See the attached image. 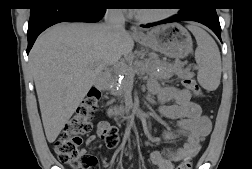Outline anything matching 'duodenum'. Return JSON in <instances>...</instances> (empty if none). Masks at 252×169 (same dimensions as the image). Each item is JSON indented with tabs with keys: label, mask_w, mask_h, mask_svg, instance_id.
<instances>
[{
	"label": "duodenum",
	"mask_w": 252,
	"mask_h": 169,
	"mask_svg": "<svg viewBox=\"0 0 252 169\" xmlns=\"http://www.w3.org/2000/svg\"><path fill=\"white\" fill-rule=\"evenodd\" d=\"M116 111H120L121 109L120 108H118V107H115L114 108Z\"/></svg>",
	"instance_id": "1"
}]
</instances>
